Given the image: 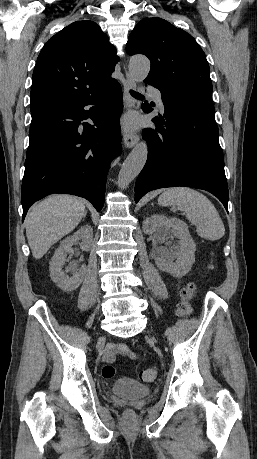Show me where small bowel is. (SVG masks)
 Segmentation results:
<instances>
[{"label":"small bowel","instance_id":"small-bowel-1","mask_svg":"<svg viewBox=\"0 0 257 459\" xmlns=\"http://www.w3.org/2000/svg\"><path fill=\"white\" fill-rule=\"evenodd\" d=\"M117 355H126L130 358H135L136 354L131 352L124 344H111L105 352V359L109 362L115 360Z\"/></svg>","mask_w":257,"mask_h":459}]
</instances>
